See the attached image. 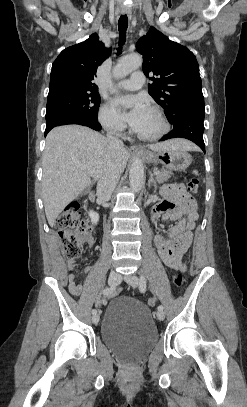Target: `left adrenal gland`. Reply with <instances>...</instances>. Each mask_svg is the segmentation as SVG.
I'll list each match as a JSON object with an SVG mask.
<instances>
[{"label": "left adrenal gland", "instance_id": "a2214340", "mask_svg": "<svg viewBox=\"0 0 247 407\" xmlns=\"http://www.w3.org/2000/svg\"><path fill=\"white\" fill-rule=\"evenodd\" d=\"M149 174H150V178H149V181H148V187H150L153 184L154 190L156 191V189H157L156 180L154 179V176H153L152 172H150Z\"/></svg>", "mask_w": 247, "mask_h": 407}]
</instances>
